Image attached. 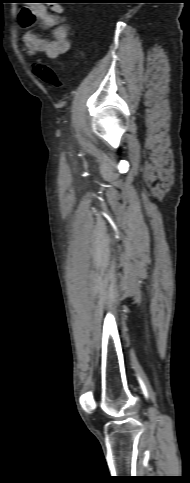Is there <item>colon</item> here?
Returning a JSON list of instances; mask_svg holds the SVG:
<instances>
[{
    "label": "colon",
    "instance_id": "colon-1",
    "mask_svg": "<svg viewBox=\"0 0 190 483\" xmlns=\"http://www.w3.org/2000/svg\"><path fill=\"white\" fill-rule=\"evenodd\" d=\"M34 74L46 85L52 88H60L62 80L58 73L44 62H39L34 66Z\"/></svg>",
    "mask_w": 190,
    "mask_h": 483
}]
</instances>
